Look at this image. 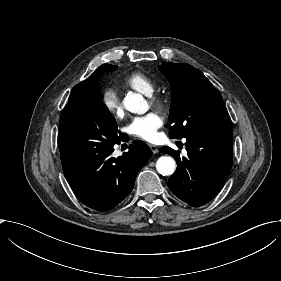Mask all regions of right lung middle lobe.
<instances>
[{
	"label": "right lung middle lobe",
	"instance_id": "right-lung-middle-lobe-1",
	"mask_svg": "<svg viewBox=\"0 0 281 281\" xmlns=\"http://www.w3.org/2000/svg\"><path fill=\"white\" fill-rule=\"evenodd\" d=\"M112 71L116 70L117 69V66H111L110 68Z\"/></svg>",
	"mask_w": 281,
	"mask_h": 281
}]
</instances>
